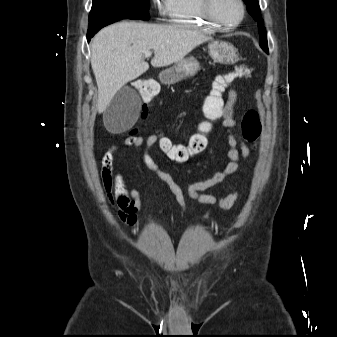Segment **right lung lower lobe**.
Instances as JSON below:
<instances>
[{
    "mask_svg": "<svg viewBox=\"0 0 337 337\" xmlns=\"http://www.w3.org/2000/svg\"><path fill=\"white\" fill-rule=\"evenodd\" d=\"M118 20L120 19L102 20V21H98L94 24L89 25L88 32H87V41H90V39L95 35V33H97L101 28L113 22H116Z\"/></svg>",
    "mask_w": 337,
    "mask_h": 337,
    "instance_id": "right-lung-lower-lobe-1",
    "label": "right lung lower lobe"
}]
</instances>
